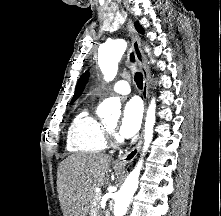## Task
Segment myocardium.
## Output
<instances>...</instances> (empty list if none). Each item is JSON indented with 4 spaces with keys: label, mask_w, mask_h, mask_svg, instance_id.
<instances>
[{
    "label": "myocardium",
    "mask_w": 221,
    "mask_h": 216,
    "mask_svg": "<svg viewBox=\"0 0 221 216\" xmlns=\"http://www.w3.org/2000/svg\"><path fill=\"white\" fill-rule=\"evenodd\" d=\"M105 129L109 135H113V128L112 127H110L109 125H105ZM116 142H117V138H114V143H116Z\"/></svg>",
    "instance_id": "myocardium-1"
}]
</instances>
